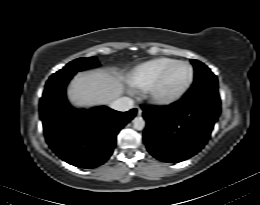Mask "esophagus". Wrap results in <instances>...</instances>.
Here are the masks:
<instances>
[{
	"label": "esophagus",
	"mask_w": 260,
	"mask_h": 205,
	"mask_svg": "<svg viewBox=\"0 0 260 205\" xmlns=\"http://www.w3.org/2000/svg\"><path fill=\"white\" fill-rule=\"evenodd\" d=\"M137 114L138 116L142 115V109L139 106H137Z\"/></svg>",
	"instance_id": "1"
}]
</instances>
